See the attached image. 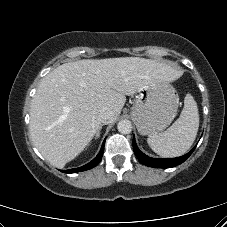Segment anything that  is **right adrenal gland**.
Masks as SVG:
<instances>
[{
  "label": "right adrenal gland",
  "mask_w": 227,
  "mask_h": 227,
  "mask_svg": "<svg viewBox=\"0 0 227 227\" xmlns=\"http://www.w3.org/2000/svg\"><path fill=\"white\" fill-rule=\"evenodd\" d=\"M101 128H102V126H101ZM101 128L96 132L95 139H97L100 136V130H101Z\"/></svg>",
  "instance_id": "2a0ac1e0"
}]
</instances>
